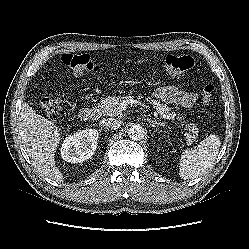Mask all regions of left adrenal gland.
I'll use <instances>...</instances> for the list:
<instances>
[{
	"instance_id": "obj_1",
	"label": "left adrenal gland",
	"mask_w": 249,
	"mask_h": 249,
	"mask_svg": "<svg viewBox=\"0 0 249 249\" xmlns=\"http://www.w3.org/2000/svg\"><path fill=\"white\" fill-rule=\"evenodd\" d=\"M149 124L152 128H155L156 126H165L164 123L158 122L157 120H149Z\"/></svg>"
}]
</instances>
